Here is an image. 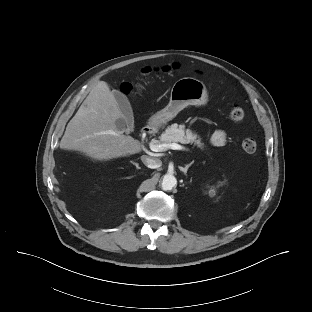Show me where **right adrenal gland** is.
I'll return each instance as SVG.
<instances>
[{
    "label": "right adrenal gland",
    "mask_w": 312,
    "mask_h": 312,
    "mask_svg": "<svg viewBox=\"0 0 312 312\" xmlns=\"http://www.w3.org/2000/svg\"><path fill=\"white\" fill-rule=\"evenodd\" d=\"M131 163H132L133 165H135L137 169H141V167L139 166V164H138V163L133 162V161H131Z\"/></svg>",
    "instance_id": "obj_1"
}]
</instances>
